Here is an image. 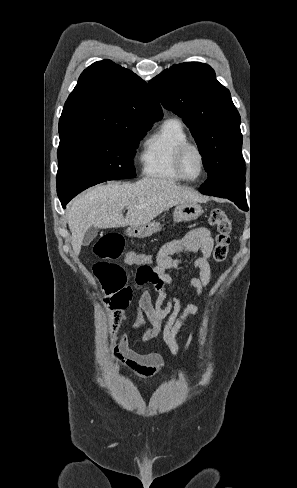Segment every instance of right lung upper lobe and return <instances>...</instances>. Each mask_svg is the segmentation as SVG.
Returning <instances> with one entry per match:
<instances>
[{
	"label": "right lung upper lobe",
	"mask_w": 297,
	"mask_h": 488,
	"mask_svg": "<svg viewBox=\"0 0 297 488\" xmlns=\"http://www.w3.org/2000/svg\"><path fill=\"white\" fill-rule=\"evenodd\" d=\"M147 83L111 60L85 69L59 120L60 139L92 133H117L162 118Z\"/></svg>",
	"instance_id": "cb5924a9"
}]
</instances>
